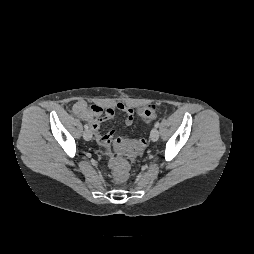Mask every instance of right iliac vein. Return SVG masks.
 Masks as SVG:
<instances>
[{
	"label": "right iliac vein",
	"instance_id": "right-iliac-vein-1",
	"mask_svg": "<svg viewBox=\"0 0 254 254\" xmlns=\"http://www.w3.org/2000/svg\"><path fill=\"white\" fill-rule=\"evenodd\" d=\"M83 137L85 140H91L92 138V132L90 129H86L84 132H83Z\"/></svg>",
	"mask_w": 254,
	"mask_h": 254
}]
</instances>
